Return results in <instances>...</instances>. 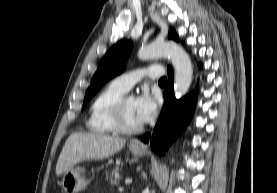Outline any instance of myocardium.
Returning <instances> with one entry per match:
<instances>
[{
    "label": "myocardium",
    "instance_id": "myocardium-1",
    "mask_svg": "<svg viewBox=\"0 0 277 193\" xmlns=\"http://www.w3.org/2000/svg\"><path fill=\"white\" fill-rule=\"evenodd\" d=\"M127 97L122 96L113 106L112 108V120L114 124V128L116 132L121 134H134L143 129V125L139 124L136 126L128 125L125 120L124 115V102Z\"/></svg>",
    "mask_w": 277,
    "mask_h": 193
}]
</instances>
